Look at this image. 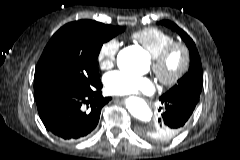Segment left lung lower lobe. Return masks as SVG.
Segmentation results:
<instances>
[{
  "mask_svg": "<svg viewBox=\"0 0 240 160\" xmlns=\"http://www.w3.org/2000/svg\"><path fill=\"white\" fill-rule=\"evenodd\" d=\"M159 100L164 107L157 126H139L138 128V132L143 137L158 142L176 136L187 123L198 103L185 97L167 95L161 96Z\"/></svg>",
  "mask_w": 240,
  "mask_h": 160,
  "instance_id": "obj_1",
  "label": "left lung lower lobe"
}]
</instances>
